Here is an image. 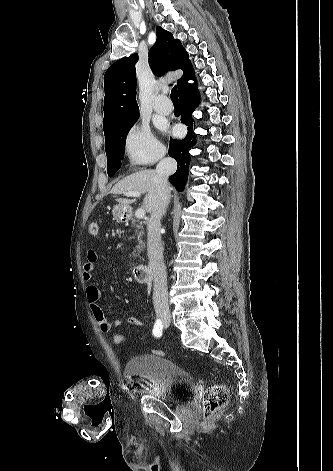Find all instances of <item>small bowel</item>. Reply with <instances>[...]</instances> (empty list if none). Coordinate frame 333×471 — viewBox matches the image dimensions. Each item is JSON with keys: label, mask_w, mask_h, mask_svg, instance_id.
<instances>
[{"label": "small bowel", "mask_w": 333, "mask_h": 471, "mask_svg": "<svg viewBox=\"0 0 333 471\" xmlns=\"http://www.w3.org/2000/svg\"><path fill=\"white\" fill-rule=\"evenodd\" d=\"M102 258V256L94 250H89L87 252V260L83 265V279L88 283L86 288V297L89 303L92 315L100 329L101 332L107 333L112 330V328H117L122 325L123 322H126L133 326H142L144 322L139 318L131 315H125L123 318H116L113 322H110L103 309L100 306L101 300V291L99 288L92 282L95 264Z\"/></svg>", "instance_id": "small-bowel-1"}]
</instances>
